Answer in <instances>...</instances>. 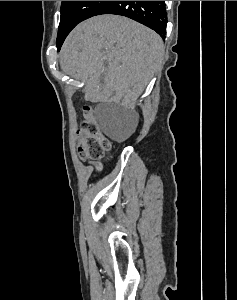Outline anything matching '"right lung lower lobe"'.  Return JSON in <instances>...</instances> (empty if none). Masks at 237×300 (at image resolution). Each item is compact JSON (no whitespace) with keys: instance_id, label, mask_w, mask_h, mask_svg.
Here are the masks:
<instances>
[{"instance_id":"98d812e1","label":"right lung lower lobe","mask_w":237,"mask_h":300,"mask_svg":"<svg viewBox=\"0 0 237 300\" xmlns=\"http://www.w3.org/2000/svg\"><path fill=\"white\" fill-rule=\"evenodd\" d=\"M101 14L129 17L165 38L167 13L164 1H109L96 15Z\"/></svg>"}]
</instances>
